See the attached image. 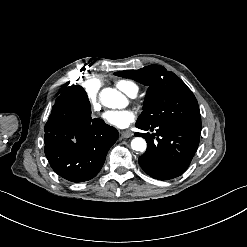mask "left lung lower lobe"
<instances>
[{"mask_svg": "<svg viewBox=\"0 0 247 247\" xmlns=\"http://www.w3.org/2000/svg\"><path fill=\"white\" fill-rule=\"evenodd\" d=\"M136 127L150 131L156 129L153 135L135 133L147 141V150L138 159L146 174L154 179L168 180L185 172L197 151L201 131L177 124Z\"/></svg>", "mask_w": 247, "mask_h": 247, "instance_id": "0a47b994", "label": "left lung lower lobe"}]
</instances>
